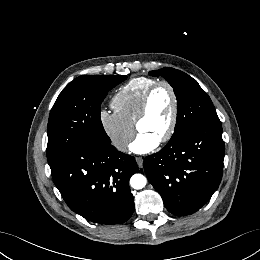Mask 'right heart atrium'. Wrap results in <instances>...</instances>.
I'll use <instances>...</instances> for the list:
<instances>
[{
  "label": "right heart atrium",
  "mask_w": 260,
  "mask_h": 260,
  "mask_svg": "<svg viewBox=\"0 0 260 260\" xmlns=\"http://www.w3.org/2000/svg\"><path fill=\"white\" fill-rule=\"evenodd\" d=\"M98 119L112 146L116 150L124 152L134 137V125L122 118L115 110L101 109Z\"/></svg>",
  "instance_id": "right-heart-atrium-1"
}]
</instances>
